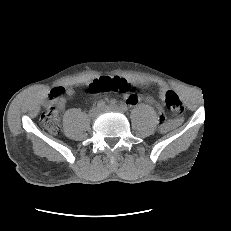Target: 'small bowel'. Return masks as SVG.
<instances>
[{"label": "small bowel", "instance_id": "small-bowel-1", "mask_svg": "<svg viewBox=\"0 0 231 231\" xmlns=\"http://www.w3.org/2000/svg\"><path fill=\"white\" fill-rule=\"evenodd\" d=\"M101 78H103V77H101ZM55 89L62 90V94L54 99L56 101L57 106L62 109V108L65 107L67 100L73 97L74 91L72 89L65 90V89H63L61 87H58V88H55ZM167 91H168L167 86L166 85H161V87H160L161 97H165V94H166ZM142 100L146 101V102H149V103H155V100L152 97L146 96V95L141 94V93H130V94H128L126 96L127 103H129L131 105L137 104L138 102H140ZM166 127L167 126L165 125L162 128H166Z\"/></svg>", "mask_w": 231, "mask_h": 231}]
</instances>
